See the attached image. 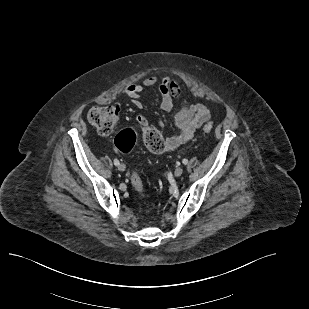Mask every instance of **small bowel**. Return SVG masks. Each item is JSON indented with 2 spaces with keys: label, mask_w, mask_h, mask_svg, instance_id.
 I'll list each match as a JSON object with an SVG mask.
<instances>
[{
  "label": "small bowel",
  "mask_w": 309,
  "mask_h": 309,
  "mask_svg": "<svg viewBox=\"0 0 309 309\" xmlns=\"http://www.w3.org/2000/svg\"><path fill=\"white\" fill-rule=\"evenodd\" d=\"M155 86H158L161 94L162 110L170 111L175 101L179 103V109L174 117V133L164 141L163 151H172L192 139L195 132L210 120V110L202 103L190 104L182 97L179 82L168 75L161 79L157 76H149L141 83L128 85L123 93L137 108L141 109L142 93ZM137 121L143 128L148 126V121L143 115H139Z\"/></svg>",
  "instance_id": "obj_1"
}]
</instances>
